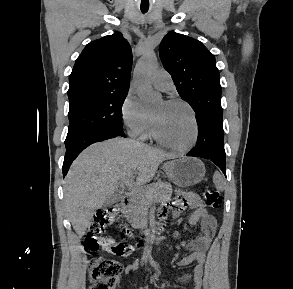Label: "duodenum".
<instances>
[{
  "mask_svg": "<svg viewBox=\"0 0 293 289\" xmlns=\"http://www.w3.org/2000/svg\"><path fill=\"white\" fill-rule=\"evenodd\" d=\"M129 205H130V198L128 195H124L121 202L119 203L121 211L125 212L129 208ZM122 229L125 230L126 232H129V229L124 224H122ZM156 235H157L156 229H146L143 232L144 238L148 241H153L156 238Z\"/></svg>",
  "mask_w": 293,
  "mask_h": 289,
  "instance_id": "obj_1",
  "label": "duodenum"
}]
</instances>
